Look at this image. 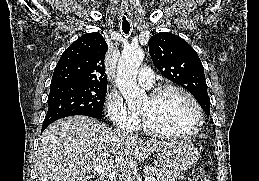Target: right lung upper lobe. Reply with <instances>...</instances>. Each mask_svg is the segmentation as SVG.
Segmentation results:
<instances>
[{"label": "right lung upper lobe", "mask_w": 259, "mask_h": 181, "mask_svg": "<svg viewBox=\"0 0 259 181\" xmlns=\"http://www.w3.org/2000/svg\"><path fill=\"white\" fill-rule=\"evenodd\" d=\"M108 47L98 32L78 38L61 55L50 87L76 85L107 87L104 58Z\"/></svg>", "instance_id": "obj_1"}]
</instances>
